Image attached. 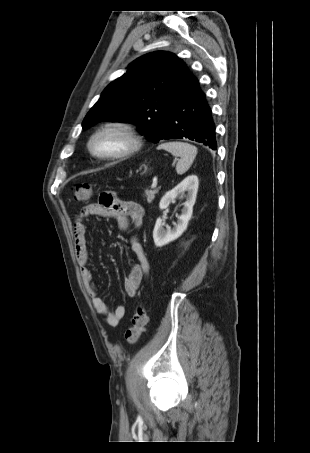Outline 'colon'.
<instances>
[{
	"label": "colon",
	"mask_w": 310,
	"mask_h": 453,
	"mask_svg": "<svg viewBox=\"0 0 310 453\" xmlns=\"http://www.w3.org/2000/svg\"><path fill=\"white\" fill-rule=\"evenodd\" d=\"M92 196V186L89 184H80L74 188L73 200L77 203L87 201ZM115 195L112 192H103L100 195V203L106 207L109 206ZM148 316L145 305L140 303L131 318V326L125 332V339L128 343H136L141 337L142 332L147 324Z\"/></svg>",
	"instance_id": "1"
}]
</instances>
